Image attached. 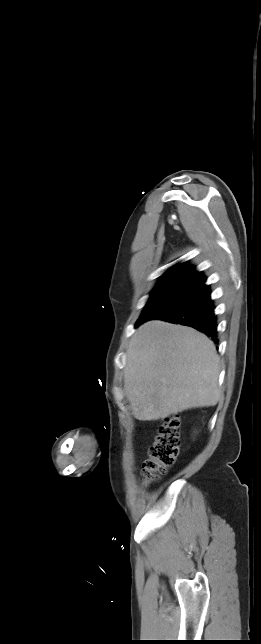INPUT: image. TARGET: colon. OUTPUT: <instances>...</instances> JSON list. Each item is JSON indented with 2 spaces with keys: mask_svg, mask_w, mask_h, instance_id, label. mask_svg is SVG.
Masks as SVG:
<instances>
[{
  "mask_svg": "<svg viewBox=\"0 0 261 644\" xmlns=\"http://www.w3.org/2000/svg\"><path fill=\"white\" fill-rule=\"evenodd\" d=\"M180 447V418L167 417L158 427L157 436L148 450L144 462V478L147 483L159 480L170 468L178 455Z\"/></svg>",
  "mask_w": 261,
  "mask_h": 644,
  "instance_id": "obj_1",
  "label": "colon"
}]
</instances>
